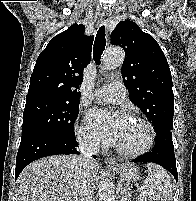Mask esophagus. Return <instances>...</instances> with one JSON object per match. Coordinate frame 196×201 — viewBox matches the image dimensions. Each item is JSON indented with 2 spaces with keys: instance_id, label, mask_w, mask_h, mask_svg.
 Segmentation results:
<instances>
[{
  "instance_id": "esophagus-1",
  "label": "esophagus",
  "mask_w": 196,
  "mask_h": 201,
  "mask_svg": "<svg viewBox=\"0 0 196 201\" xmlns=\"http://www.w3.org/2000/svg\"><path fill=\"white\" fill-rule=\"evenodd\" d=\"M111 14H112L111 11H108V10L103 11V13H102V21H103V23L105 25H107L109 23V20L111 18ZM106 163L110 164V165H113V164H115V161L113 159H108L107 158Z\"/></svg>"
}]
</instances>
